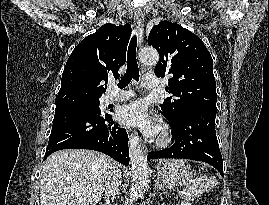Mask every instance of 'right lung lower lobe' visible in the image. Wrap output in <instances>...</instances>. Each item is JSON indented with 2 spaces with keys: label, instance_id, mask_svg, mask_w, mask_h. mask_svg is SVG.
<instances>
[{
  "label": "right lung lower lobe",
  "instance_id": "1",
  "mask_svg": "<svg viewBox=\"0 0 269 205\" xmlns=\"http://www.w3.org/2000/svg\"><path fill=\"white\" fill-rule=\"evenodd\" d=\"M90 149L103 152L129 165L128 135L113 123L110 114L92 111L55 112L44 160L62 149Z\"/></svg>",
  "mask_w": 269,
  "mask_h": 205
}]
</instances>
